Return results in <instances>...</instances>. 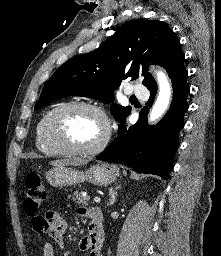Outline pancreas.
I'll return each mask as SVG.
<instances>
[{
  "instance_id": "pancreas-1",
  "label": "pancreas",
  "mask_w": 221,
  "mask_h": 256,
  "mask_svg": "<svg viewBox=\"0 0 221 256\" xmlns=\"http://www.w3.org/2000/svg\"><path fill=\"white\" fill-rule=\"evenodd\" d=\"M71 199L76 203V204H82V205H88V202L90 200L89 196H83L82 193L75 191L73 195L71 196Z\"/></svg>"
}]
</instances>
